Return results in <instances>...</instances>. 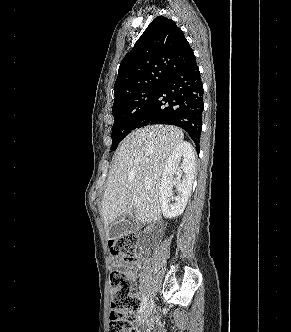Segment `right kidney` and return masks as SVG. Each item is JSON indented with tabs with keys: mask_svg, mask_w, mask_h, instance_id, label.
<instances>
[{
	"mask_svg": "<svg viewBox=\"0 0 291 332\" xmlns=\"http://www.w3.org/2000/svg\"><path fill=\"white\" fill-rule=\"evenodd\" d=\"M194 172L195 154L193 147L188 142H182L169 156L159 188L160 208L166 218H175L183 213L191 194ZM174 175L176 178L173 177ZM173 186H176L178 191L175 197L172 195ZM173 200L175 202L171 203Z\"/></svg>",
	"mask_w": 291,
	"mask_h": 332,
	"instance_id": "ca27d5eb",
	"label": "right kidney"
}]
</instances>
